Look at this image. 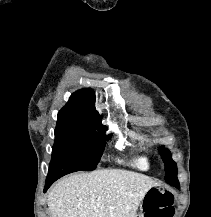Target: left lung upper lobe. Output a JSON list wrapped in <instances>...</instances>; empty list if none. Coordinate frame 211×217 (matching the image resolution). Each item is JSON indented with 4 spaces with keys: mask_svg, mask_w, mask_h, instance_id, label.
<instances>
[{
    "mask_svg": "<svg viewBox=\"0 0 211 217\" xmlns=\"http://www.w3.org/2000/svg\"><path fill=\"white\" fill-rule=\"evenodd\" d=\"M159 151L165 163L166 182L172 186H175L176 188H179L180 186L177 179V166L176 163L172 160L169 150L161 147Z\"/></svg>",
    "mask_w": 211,
    "mask_h": 217,
    "instance_id": "left-lung-upper-lobe-1",
    "label": "left lung upper lobe"
}]
</instances>
